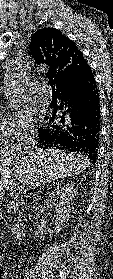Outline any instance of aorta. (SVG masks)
<instances>
[{
	"instance_id": "1",
	"label": "aorta",
	"mask_w": 113,
	"mask_h": 279,
	"mask_svg": "<svg viewBox=\"0 0 113 279\" xmlns=\"http://www.w3.org/2000/svg\"><path fill=\"white\" fill-rule=\"evenodd\" d=\"M19 97V92L17 89H12L11 93L9 94L10 101H15Z\"/></svg>"
}]
</instances>
